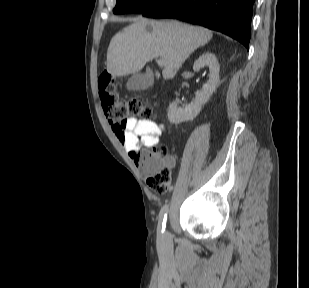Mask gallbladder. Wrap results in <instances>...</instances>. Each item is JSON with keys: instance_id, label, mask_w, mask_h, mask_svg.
Returning <instances> with one entry per match:
<instances>
[{"instance_id": "obj_1", "label": "gallbladder", "mask_w": 309, "mask_h": 288, "mask_svg": "<svg viewBox=\"0 0 309 288\" xmlns=\"http://www.w3.org/2000/svg\"><path fill=\"white\" fill-rule=\"evenodd\" d=\"M152 72L147 69L146 73H136L131 75L126 83V88L131 91H143L153 84Z\"/></svg>"}]
</instances>
